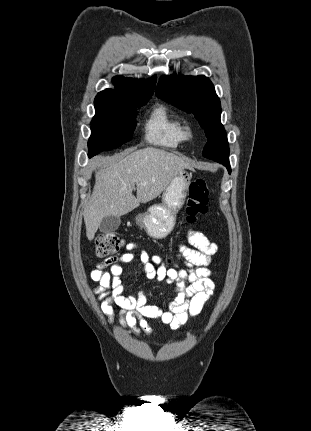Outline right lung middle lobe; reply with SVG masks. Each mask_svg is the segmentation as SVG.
<instances>
[{"label":"right lung middle lobe","instance_id":"dd1d6c3e","mask_svg":"<svg viewBox=\"0 0 311 431\" xmlns=\"http://www.w3.org/2000/svg\"><path fill=\"white\" fill-rule=\"evenodd\" d=\"M149 99L96 96L88 141L89 157L129 141L136 127V108L144 106Z\"/></svg>","mask_w":311,"mask_h":431}]
</instances>
